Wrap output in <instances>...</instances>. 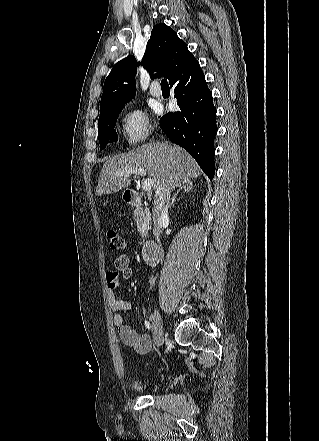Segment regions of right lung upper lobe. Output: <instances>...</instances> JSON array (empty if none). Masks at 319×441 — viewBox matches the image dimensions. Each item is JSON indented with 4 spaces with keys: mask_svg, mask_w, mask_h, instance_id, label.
I'll return each mask as SVG.
<instances>
[{
    "mask_svg": "<svg viewBox=\"0 0 319 441\" xmlns=\"http://www.w3.org/2000/svg\"><path fill=\"white\" fill-rule=\"evenodd\" d=\"M196 62L187 45L164 23L154 26L142 59L151 78L165 77L169 83ZM137 62L134 56L120 60L107 76L100 102V110L124 105L135 94ZM158 71L157 74H152Z\"/></svg>",
    "mask_w": 319,
    "mask_h": 441,
    "instance_id": "right-lung-upper-lobe-1",
    "label": "right lung upper lobe"
}]
</instances>
